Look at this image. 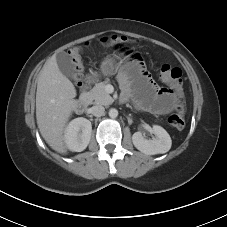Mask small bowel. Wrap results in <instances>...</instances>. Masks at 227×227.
<instances>
[{"label": "small bowel", "mask_w": 227, "mask_h": 227, "mask_svg": "<svg viewBox=\"0 0 227 227\" xmlns=\"http://www.w3.org/2000/svg\"><path fill=\"white\" fill-rule=\"evenodd\" d=\"M139 54H132L114 66L124 100L133 97L135 104L144 110L157 114H167L176 105L174 93L166 88H159L145 70V64Z\"/></svg>", "instance_id": "c3829d8e"}]
</instances>
